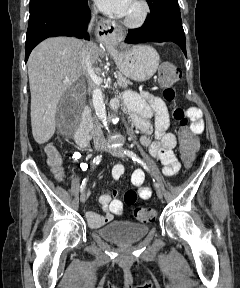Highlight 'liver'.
Masks as SVG:
<instances>
[{"label":"liver","mask_w":240,"mask_h":288,"mask_svg":"<svg viewBox=\"0 0 240 288\" xmlns=\"http://www.w3.org/2000/svg\"><path fill=\"white\" fill-rule=\"evenodd\" d=\"M84 46L80 39L53 37L42 41L30 54L31 125L38 144L46 143L53 136L58 102L62 94L82 76ZM100 52L94 44L90 50L93 64ZM65 79L68 81L64 82Z\"/></svg>","instance_id":"1"}]
</instances>
